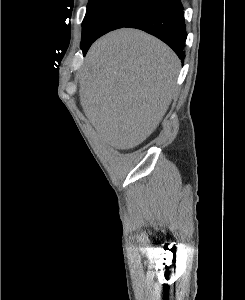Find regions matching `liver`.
I'll list each match as a JSON object with an SVG mask.
<instances>
[{
    "label": "liver",
    "mask_w": 245,
    "mask_h": 300,
    "mask_svg": "<svg viewBox=\"0 0 245 300\" xmlns=\"http://www.w3.org/2000/svg\"><path fill=\"white\" fill-rule=\"evenodd\" d=\"M181 62L159 39L122 28L89 49L80 75L83 111L101 140L132 149L157 128L176 90Z\"/></svg>",
    "instance_id": "1"
}]
</instances>
